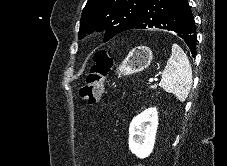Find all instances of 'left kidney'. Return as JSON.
<instances>
[{"mask_svg": "<svg viewBox=\"0 0 227 166\" xmlns=\"http://www.w3.org/2000/svg\"><path fill=\"white\" fill-rule=\"evenodd\" d=\"M158 112L149 108L134 117L129 127V149L138 158L148 157L154 148Z\"/></svg>", "mask_w": 227, "mask_h": 166, "instance_id": "left-kidney-1", "label": "left kidney"}]
</instances>
